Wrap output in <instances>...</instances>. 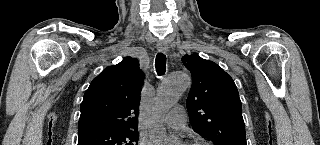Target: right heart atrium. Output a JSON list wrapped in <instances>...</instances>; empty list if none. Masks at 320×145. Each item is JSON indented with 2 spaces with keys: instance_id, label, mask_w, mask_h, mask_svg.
Masks as SVG:
<instances>
[{
  "instance_id": "d8ad5b80",
  "label": "right heart atrium",
  "mask_w": 320,
  "mask_h": 145,
  "mask_svg": "<svg viewBox=\"0 0 320 145\" xmlns=\"http://www.w3.org/2000/svg\"><path fill=\"white\" fill-rule=\"evenodd\" d=\"M139 143H140V145H150V142L148 140H145V139L140 140Z\"/></svg>"
}]
</instances>
